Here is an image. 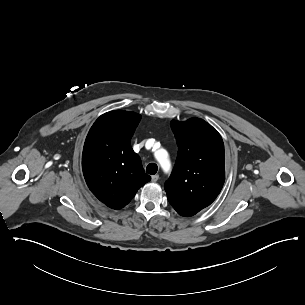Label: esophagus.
<instances>
[{
  "instance_id": "1",
  "label": "esophagus",
  "mask_w": 305,
  "mask_h": 305,
  "mask_svg": "<svg viewBox=\"0 0 305 305\" xmlns=\"http://www.w3.org/2000/svg\"><path fill=\"white\" fill-rule=\"evenodd\" d=\"M158 179H159V175H153V176L151 177V181H152V182H156Z\"/></svg>"
}]
</instances>
